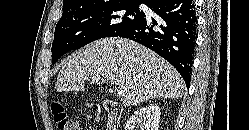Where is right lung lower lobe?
I'll use <instances>...</instances> for the list:
<instances>
[{
    "label": "right lung lower lobe",
    "mask_w": 249,
    "mask_h": 130,
    "mask_svg": "<svg viewBox=\"0 0 249 130\" xmlns=\"http://www.w3.org/2000/svg\"><path fill=\"white\" fill-rule=\"evenodd\" d=\"M147 6L160 18L145 16L119 37L155 51L176 68L189 87L196 41L195 4L191 0H152Z\"/></svg>",
    "instance_id": "obj_1"
}]
</instances>
